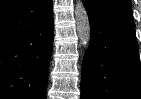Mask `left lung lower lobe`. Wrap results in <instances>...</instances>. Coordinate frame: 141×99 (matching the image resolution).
<instances>
[{
  "instance_id": "obj_1",
  "label": "left lung lower lobe",
  "mask_w": 141,
  "mask_h": 99,
  "mask_svg": "<svg viewBox=\"0 0 141 99\" xmlns=\"http://www.w3.org/2000/svg\"><path fill=\"white\" fill-rule=\"evenodd\" d=\"M91 38L81 99H141V65L130 0H83Z\"/></svg>"
}]
</instances>
